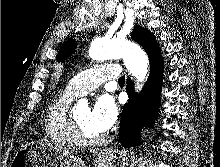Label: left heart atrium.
Instances as JSON below:
<instances>
[{"label":"left heart atrium","instance_id":"left-heart-atrium-1","mask_svg":"<svg viewBox=\"0 0 220 167\" xmlns=\"http://www.w3.org/2000/svg\"><path fill=\"white\" fill-rule=\"evenodd\" d=\"M116 118L117 106L108 95L98 98L89 112L91 125L100 133L106 132L115 123Z\"/></svg>","mask_w":220,"mask_h":167}]
</instances>
